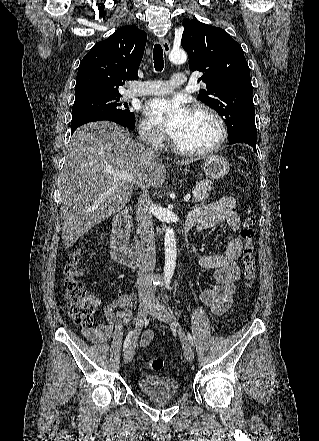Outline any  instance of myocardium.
<instances>
[{
	"label": "myocardium",
	"mask_w": 319,
	"mask_h": 441,
	"mask_svg": "<svg viewBox=\"0 0 319 441\" xmlns=\"http://www.w3.org/2000/svg\"><path fill=\"white\" fill-rule=\"evenodd\" d=\"M189 112H204L208 114L217 124L218 138L211 146L198 150L182 148L172 138L171 146L173 150L178 154L185 156H205L218 150L224 144L227 138L226 124L221 115L216 110L205 104H194L190 107Z\"/></svg>",
	"instance_id": "obj_1"
}]
</instances>
